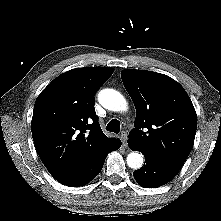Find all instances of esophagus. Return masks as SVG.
I'll return each instance as SVG.
<instances>
[{"label":"esophagus","mask_w":221,"mask_h":221,"mask_svg":"<svg viewBox=\"0 0 221 221\" xmlns=\"http://www.w3.org/2000/svg\"><path fill=\"white\" fill-rule=\"evenodd\" d=\"M120 138L122 140L123 146L127 147V133L125 131L121 132Z\"/></svg>","instance_id":"esophagus-1"}]
</instances>
